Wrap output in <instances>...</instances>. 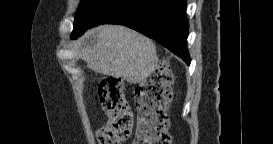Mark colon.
Returning a JSON list of instances; mask_svg holds the SVG:
<instances>
[{
  "label": "colon",
  "instance_id": "obj_1",
  "mask_svg": "<svg viewBox=\"0 0 273 144\" xmlns=\"http://www.w3.org/2000/svg\"><path fill=\"white\" fill-rule=\"evenodd\" d=\"M173 73L162 63L142 81L136 90L138 111L135 144H170L168 105L172 99ZM98 96L106 122L97 131L100 144H119L128 140L133 115L126 101L123 84L106 78L98 85Z\"/></svg>",
  "mask_w": 273,
  "mask_h": 144
}]
</instances>
